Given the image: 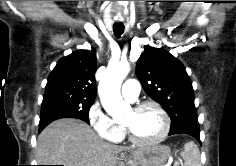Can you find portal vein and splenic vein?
I'll return each instance as SVG.
<instances>
[{"mask_svg": "<svg viewBox=\"0 0 236 166\" xmlns=\"http://www.w3.org/2000/svg\"><path fill=\"white\" fill-rule=\"evenodd\" d=\"M179 165V163L178 162H176L175 164H174V166H178Z\"/></svg>", "mask_w": 236, "mask_h": 166, "instance_id": "obj_1", "label": "portal vein and splenic vein"}]
</instances>
